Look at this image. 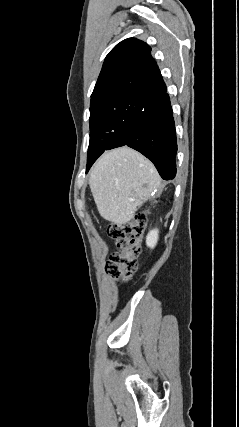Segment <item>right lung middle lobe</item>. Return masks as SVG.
Returning a JSON list of instances; mask_svg holds the SVG:
<instances>
[{
    "instance_id": "1",
    "label": "right lung middle lobe",
    "mask_w": 239,
    "mask_h": 427,
    "mask_svg": "<svg viewBox=\"0 0 239 427\" xmlns=\"http://www.w3.org/2000/svg\"><path fill=\"white\" fill-rule=\"evenodd\" d=\"M145 98L127 96L90 105V142L87 171L105 151L122 146L134 118L145 106Z\"/></svg>"
}]
</instances>
